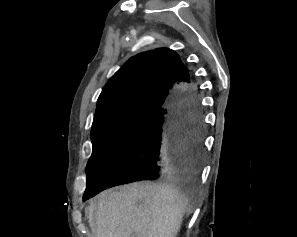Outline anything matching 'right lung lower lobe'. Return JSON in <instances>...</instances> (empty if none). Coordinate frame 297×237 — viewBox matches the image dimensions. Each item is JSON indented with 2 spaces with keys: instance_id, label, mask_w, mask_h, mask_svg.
<instances>
[{
  "instance_id": "98d812e1",
  "label": "right lung lower lobe",
  "mask_w": 297,
  "mask_h": 237,
  "mask_svg": "<svg viewBox=\"0 0 297 237\" xmlns=\"http://www.w3.org/2000/svg\"><path fill=\"white\" fill-rule=\"evenodd\" d=\"M200 107L198 87L193 81L176 88L168 104L151 113L104 189L136 181L187 177L197 173L204 148Z\"/></svg>"
}]
</instances>
